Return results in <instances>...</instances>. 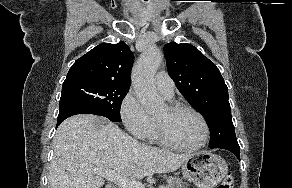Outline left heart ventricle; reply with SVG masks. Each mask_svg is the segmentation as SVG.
Here are the masks:
<instances>
[{
  "label": "left heart ventricle",
  "mask_w": 292,
  "mask_h": 188,
  "mask_svg": "<svg viewBox=\"0 0 292 188\" xmlns=\"http://www.w3.org/2000/svg\"><path fill=\"white\" fill-rule=\"evenodd\" d=\"M155 119L165 127L168 135L181 145L193 146L203 139V125L200 119L191 112L171 113L165 107L155 116Z\"/></svg>",
  "instance_id": "b2bd125f"
}]
</instances>
